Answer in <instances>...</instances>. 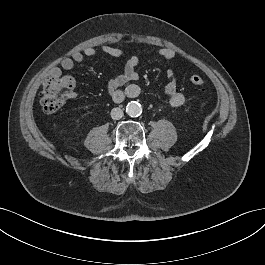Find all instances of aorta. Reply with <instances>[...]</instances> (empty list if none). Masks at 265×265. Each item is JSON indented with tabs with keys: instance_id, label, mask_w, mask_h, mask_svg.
<instances>
[{
	"instance_id": "762f6f07",
	"label": "aorta",
	"mask_w": 265,
	"mask_h": 265,
	"mask_svg": "<svg viewBox=\"0 0 265 265\" xmlns=\"http://www.w3.org/2000/svg\"><path fill=\"white\" fill-rule=\"evenodd\" d=\"M126 113L130 117H138L142 113V107L138 102L131 101L126 105Z\"/></svg>"
}]
</instances>
